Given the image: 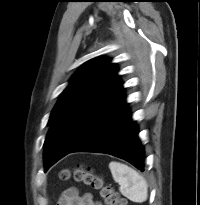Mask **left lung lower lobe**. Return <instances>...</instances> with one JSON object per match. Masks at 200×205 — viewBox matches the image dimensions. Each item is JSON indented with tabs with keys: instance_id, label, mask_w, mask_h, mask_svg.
Returning <instances> with one entry per match:
<instances>
[{
	"instance_id": "obj_1",
	"label": "left lung lower lobe",
	"mask_w": 200,
	"mask_h": 205,
	"mask_svg": "<svg viewBox=\"0 0 200 205\" xmlns=\"http://www.w3.org/2000/svg\"><path fill=\"white\" fill-rule=\"evenodd\" d=\"M79 151L110 154L144 170V148L138 139L137 126L131 120L124 89L69 153Z\"/></svg>"
}]
</instances>
